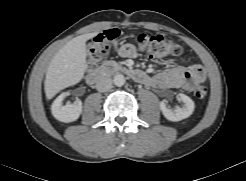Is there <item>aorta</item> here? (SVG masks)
Here are the masks:
<instances>
[{
	"mask_svg": "<svg viewBox=\"0 0 246 181\" xmlns=\"http://www.w3.org/2000/svg\"><path fill=\"white\" fill-rule=\"evenodd\" d=\"M113 82L116 86L120 87V86H123L125 84L126 79H125L124 75L117 74L114 76Z\"/></svg>",
	"mask_w": 246,
	"mask_h": 181,
	"instance_id": "obj_1",
	"label": "aorta"
}]
</instances>
